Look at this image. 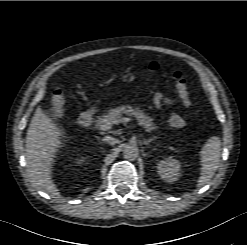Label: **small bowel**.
Masks as SVG:
<instances>
[{
  "label": "small bowel",
  "instance_id": "obj_1",
  "mask_svg": "<svg viewBox=\"0 0 247 245\" xmlns=\"http://www.w3.org/2000/svg\"><path fill=\"white\" fill-rule=\"evenodd\" d=\"M171 101L172 100L170 98L164 97L161 93H157L155 95V98H154V103L157 107H161L163 105L170 104Z\"/></svg>",
  "mask_w": 247,
  "mask_h": 245
}]
</instances>
